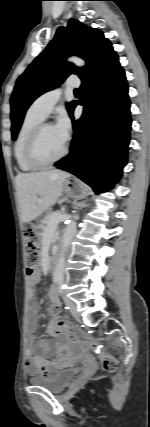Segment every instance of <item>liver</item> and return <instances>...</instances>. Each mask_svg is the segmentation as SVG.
<instances>
[{
    "label": "liver",
    "instance_id": "1",
    "mask_svg": "<svg viewBox=\"0 0 150 427\" xmlns=\"http://www.w3.org/2000/svg\"><path fill=\"white\" fill-rule=\"evenodd\" d=\"M68 177V173L58 170L18 174L16 189L22 221L30 222L53 206L61 196L63 183Z\"/></svg>",
    "mask_w": 150,
    "mask_h": 427
}]
</instances>
